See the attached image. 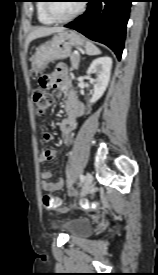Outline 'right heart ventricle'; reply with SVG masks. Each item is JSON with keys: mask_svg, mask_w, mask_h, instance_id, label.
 I'll return each mask as SVG.
<instances>
[{"mask_svg": "<svg viewBox=\"0 0 158 275\" xmlns=\"http://www.w3.org/2000/svg\"><path fill=\"white\" fill-rule=\"evenodd\" d=\"M45 0H39L37 3V17L40 23L45 24V25H50L53 24L54 21L47 15L45 11Z\"/></svg>", "mask_w": 158, "mask_h": 275, "instance_id": "1", "label": "right heart ventricle"}]
</instances>
